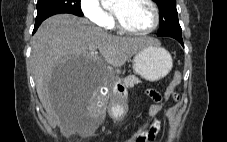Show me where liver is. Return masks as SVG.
I'll return each instance as SVG.
<instances>
[{
    "instance_id": "1",
    "label": "liver",
    "mask_w": 227,
    "mask_h": 142,
    "mask_svg": "<svg viewBox=\"0 0 227 142\" xmlns=\"http://www.w3.org/2000/svg\"><path fill=\"white\" fill-rule=\"evenodd\" d=\"M159 42L151 37L115 36L91 25L86 19L72 14H57L47 18L31 40V68L38 97L47 114L61 130L79 132L96 115L99 103L97 91L102 80L87 78L86 88H53L49 81L58 61H93L89 73H95L94 63L99 60L97 49L105 61L121 67L140 49Z\"/></svg>"
}]
</instances>
